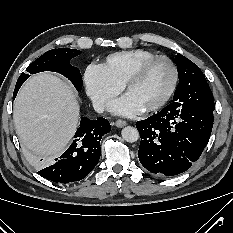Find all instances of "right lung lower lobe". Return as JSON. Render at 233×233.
Segmentation results:
<instances>
[{
  "label": "right lung lower lobe",
  "mask_w": 233,
  "mask_h": 233,
  "mask_svg": "<svg viewBox=\"0 0 233 233\" xmlns=\"http://www.w3.org/2000/svg\"><path fill=\"white\" fill-rule=\"evenodd\" d=\"M22 84L17 81L14 98ZM110 130L111 126L105 118L90 120L82 117L71 146L38 173L48 180L63 184L83 179L97 165L101 155L100 140Z\"/></svg>",
  "instance_id": "98d812e1"
}]
</instances>
